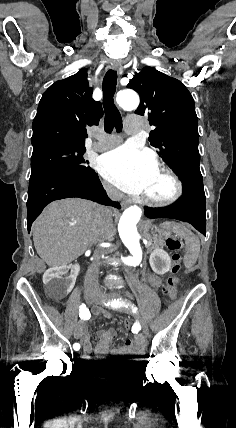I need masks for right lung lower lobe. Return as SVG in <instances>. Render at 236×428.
Segmentation results:
<instances>
[{
    "label": "right lung lower lobe",
    "instance_id": "98d812e1",
    "mask_svg": "<svg viewBox=\"0 0 236 428\" xmlns=\"http://www.w3.org/2000/svg\"><path fill=\"white\" fill-rule=\"evenodd\" d=\"M79 197L120 209L111 201L94 170L80 174L59 173L29 182L27 222L30 232L33 221L50 202L63 198Z\"/></svg>",
    "mask_w": 236,
    "mask_h": 428
}]
</instances>
